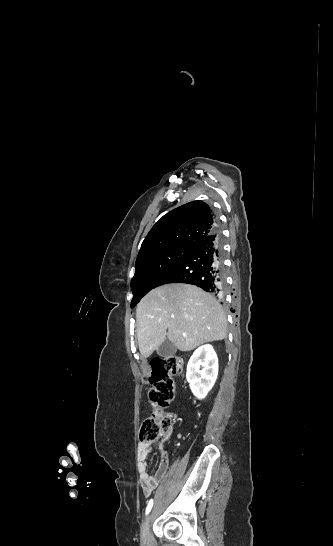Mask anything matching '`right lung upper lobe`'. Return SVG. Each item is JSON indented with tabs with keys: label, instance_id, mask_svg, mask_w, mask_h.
<instances>
[{
	"label": "right lung upper lobe",
	"instance_id": "cb5924a9",
	"mask_svg": "<svg viewBox=\"0 0 333 546\" xmlns=\"http://www.w3.org/2000/svg\"><path fill=\"white\" fill-rule=\"evenodd\" d=\"M213 210L203 201H192L164 215L144 239L136 263L172 247H193L216 230Z\"/></svg>",
	"mask_w": 333,
	"mask_h": 546
}]
</instances>
